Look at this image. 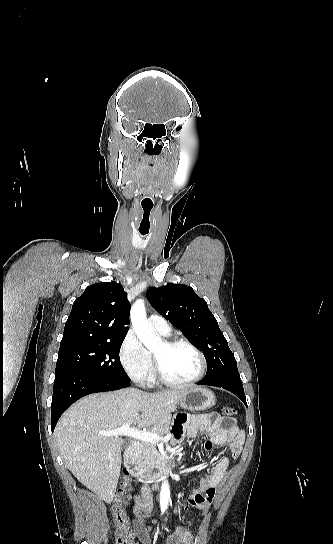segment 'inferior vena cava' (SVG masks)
<instances>
[{"mask_svg": "<svg viewBox=\"0 0 333 544\" xmlns=\"http://www.w3.org/2000/svg\"><path fill=\"white\" fill-rule=\"evenodd\" d=\"M141 492H142V499H143L145 512L151 513L153 509V495L147 483L143 484L141 488Z\"/></svg>", "mask_w": 333, "mask_h": 544, "instance_id": "1", "label": "inferior vena cava"}]
</instances>
